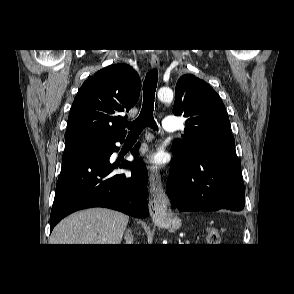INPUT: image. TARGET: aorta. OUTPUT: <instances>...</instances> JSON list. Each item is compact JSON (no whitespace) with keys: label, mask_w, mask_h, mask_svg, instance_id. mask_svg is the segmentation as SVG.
Masks as SVG:
<instances>
[{"label":"aorta","mask_w":294,"mask_h":294,"mask_svg":"<svg viewBox=\"0 0 294 294\" xmlns=\"http://www.w3.org/2000/svg\"><path fill=\"white\" fill-rule=\"evenodd\" d=\"M157 95L162 102L169 103L173 100V91L167 87L160 88Z\"/></svg>","instance_id":"obj_1"}]
</instances>
